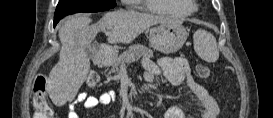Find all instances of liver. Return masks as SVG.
<instances>
[{
    "label": "liver",
    "mask_w": 273,
    "mask_h": 118,
    "mask_svg": "<svg viewBox=\"0 0 273 118\" xmlns=\"http://www.w3.org/2000/svg\"><path fill=\"white\" fill-rule=\"evenodd\" d=\"M91 21L88 16L71 17L59 29V61L52 68L46 85L52 102L57 106L73 101L86 80L90 70L86 47L100 31L108 30L107 40L110 44H129L155 24H180L178 20L134 10L109 12L97 23L90 25Z\"/></svg>",
    "instance_id": "obj_1"
}]
</instances>
